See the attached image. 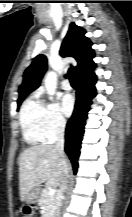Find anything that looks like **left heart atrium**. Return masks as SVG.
Instances as JSON below:
<instances>
[{"label": "left heart atrium", "mask_w": 132, "mask_h": 217, "mask_svg": "<svg viewBox=\"0 0 132 217\" xmlns=\"http://www.w3.org/2000/svg\"><path fill=\"white\" fill-rule=\"evenodd\" d=\"M74 110V98L70 94H65L61 98V111L64 115L70 116Z\"/></svg>", "instance_id": "left-heart-atrium-1"}]
</instances>
